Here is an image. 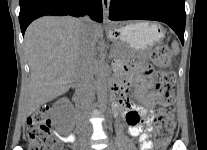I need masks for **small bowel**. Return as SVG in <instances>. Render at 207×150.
<instances>
[{"label":"small bowel","instance_id":"c3829d8e","mask_svg":"<svg viewBox=\"0 0 207 150\" xmlns=\"http://www.w3.org/2000/svg\"><path fill=\"white\" fill-rule=\"evenodd\" d=\"M118 70L124 75L121 82L116 83L113 100V109L117 116L125 119L129 126L131 136L138 138L140 150H152L153 143L149 140L151 124V108L156 98L152 92L154 69L151 65L140 62L137 64L123 62L118 65ZM136 85V98L142 105L133 103L126 97L130 86ZM65 142H73L75 136L60 135Z\"/></svg>","mask_w":207,"mask_h":150}]
</instances>
